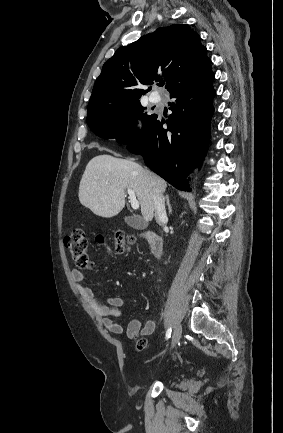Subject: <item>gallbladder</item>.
I'll return each mask as SVG.
<instances>
[{
  "label": "gallbladder",
  "mask_w": 283,
  "mask_h": 433,
  "mask_svg": "<svg viewBox=\"0 0 283 433\" xmlns=\"http://www.w3.org/2000/svg\"><path fill=\"white\" fill-rule=\"evenodd\" d=\"M125 223L133 229H139V231H143L147 227L146 221H143L141 217H125Z\"/></svg>",
  "instance_id": "1"
}]
</instances>
